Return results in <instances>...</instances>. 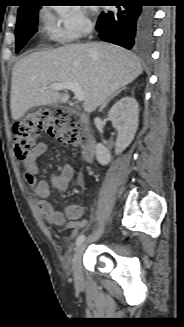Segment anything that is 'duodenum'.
Masks as SVG:
<instances>
[{"label":"duodenum","mask_w":184,"mask_h":327,"mask_svg":"<svg viewBox=\"0 0 184 327\" xmlns=\"http://www.w3.org/2000/svg\"><path fill=\"white\" fill-rule=\"evenodd\" d=\"M80 120L87 127L88 117L85 114H79ZM95 139L89 134L86 143L81 148V154L85 161L90 162L94 156Z\"/></svg>","instance_id":"obj_1"}]
</instances>
